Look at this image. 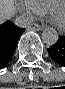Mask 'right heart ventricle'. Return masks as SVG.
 <instances>
[{
    "mask_svg": "<svg viewBox=\"0 0 65 89\" xmlns=\"http://www.w3.org/2000/svg\"><path fill=\"white\" fill-rule=\"evenodd\" d=\"M56 1L57 0H28L27 3L37 14H44Z\"/></svg>",
    "mask_w": 65,
    "mask_h": 89,
    "instance_id": "right-heart-ventricle-1",
    "label": "right heart ventricle"
}]
</instances>
